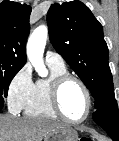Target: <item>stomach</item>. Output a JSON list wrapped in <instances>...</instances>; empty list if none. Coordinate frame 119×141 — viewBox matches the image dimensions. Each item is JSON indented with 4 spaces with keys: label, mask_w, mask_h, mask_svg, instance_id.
<instances>
[{
    "label": "stomach",
    "mask_w": 119,
    "mask_h": 141,
    "mask_svg": "<svg viewBox=\"0 0 119 141\" xmlns=\"http://www.w3.org/2000/svg\"><path fill=\"white\" fill-rule=\"evenodd\" d=\"M77 132L71 127L64 126L45 137V141H78Z\"/></svg>",
    "instance_id": "0dacf381"
}]
</instances>
